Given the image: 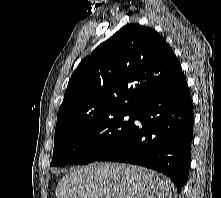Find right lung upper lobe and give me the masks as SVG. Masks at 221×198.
Segmentation results:
<instances>
[{"mask_svg": "<svg viewBox=\"0 0 221 198\" xmlns=\"http://www.w3.org/2000/svg\"><path fill=\"white\" fill-rule=\"evenodd\" d=\"M182 74L163 37L150 27L128 24L73 72L58 111L55 137L116 113L136 114Z\"/></svg>", "mask_w": 221, "mask_h": 198, "instance_id": "obj_1", "label": "right lung upper lobe"}]
</instances>
